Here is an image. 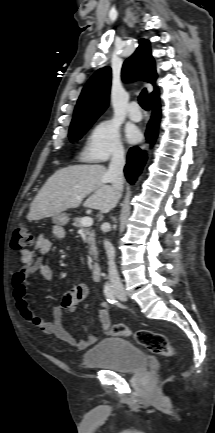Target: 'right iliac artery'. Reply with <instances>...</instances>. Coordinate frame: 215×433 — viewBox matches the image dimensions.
Listing matches in <instances>:
<instances>
[{
  "label": "right iliac artery",
  "instance_id": "right-iliac-artery-1",
  "mask_svg": "<svg viewBox=\"0 0 215 433\" xmlns=\"http://www.w3.org/2000/svg\"><path fill=\"white\" fill-rule=\"evenodd\" d=\"M104 293H105L106 299L109 303L114 304L117 302L115 299L114 291L110 285H106L104 287Z\"/></svg>",
  "mask_w": 215,
  "mask_h": 433
}]
</instances>
